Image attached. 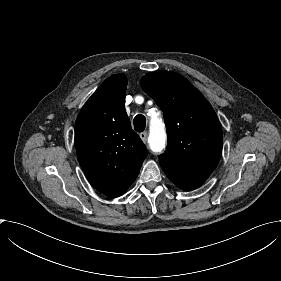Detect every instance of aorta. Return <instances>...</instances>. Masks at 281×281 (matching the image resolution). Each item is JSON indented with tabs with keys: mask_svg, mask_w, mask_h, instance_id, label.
<instances>
[{
	"mask_svg": "<svg viewBox=\"0 0 281 281\" xmlns=\"http://www.w3.org/2000/svg\"><path fill=\"white\" fill-rule=\"evenodd\" d=\"M149 147L153 152H161L166 145L165 126L161 119L153 118L150 122Z\"/></svg>",
	"mask_w": 281,
	"mask_h": 281,
	"instance_id": "1",
	"label": "aorta"
}]
</instances>
